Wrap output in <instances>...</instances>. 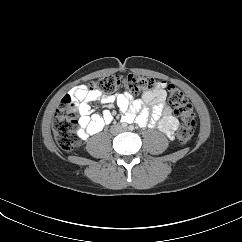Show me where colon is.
Listing matches in <instances>:
<instances>
[{
	"instance_id": "colon-1",
	"label": "colon",
	"mask_w": 242,
	"mask_h": 242,
	"mask_svg": "<svg viewBox=\"0 0 242 242\" xmlns=\"http://www.w3.org/2000/svg\"><path fill=\"white\" fill-rule=\"evenodd\" d=\"M159 83L162 82H157L150 77L131 73L124 79L116 75L104 76L90 82L86 88L89 91L111 94L123 84L131 93L137 95L140 93H148ZM167 90L169 93V104L172 105L174 113L181 118L183 123L178 133L179 143L181 145H186L191 140L196 125L195 110L189 99L180 89L174 85H168ZM72 99L73 97L71 94H66L61 99L60 105L55 110L53 121L54 138L58 146L66 152L72 151L77 145V137L74 130V127L77 125V120L73 117H69L66 112L67 104Z\"/></svg>"
}]
</instances>
